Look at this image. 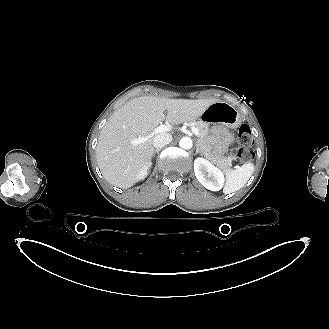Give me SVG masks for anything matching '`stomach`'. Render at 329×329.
Returning <instances> with one entry per match:
<instances>
[{"label": "stomach", "mask_w": 329, "mask_h": 329, "mask_svg": "<svg viewBox=\"0 0 329 329\" xmlns=\"http://www.w3.org/2000/svg\"><path fill=\"white\" fill-rule=\"evenodd\" d=\"M200 118L208 124L220 122L230 128H237L242 121L240 113L224 101L211 104Z\"/></svg>", "instance_id": "0dacf381"}]
</instances>
